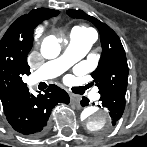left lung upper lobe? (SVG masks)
I'll list each match as a JSON object with an SVG mask.
<instances>
[{
    "instance_id": "5c2ea615",
    "label": "left lung upper lobe",
    "mask_w": 147,
    "mask_h": 147,
    "mask_svg": "<svg viewBox=\"0 0 147 147\" xmlns=\"http://www.w3.org/2000/svg\"><path fill=\"white\" fill-rule=\"evenodd\" d=\"M67 14L73 18L87 19L99 30L103 51L97 69L91 73L99 93L116 87L127 88V59L118 35L108 25L82 10H67Z\"/></svg>"
}]
</instances>
